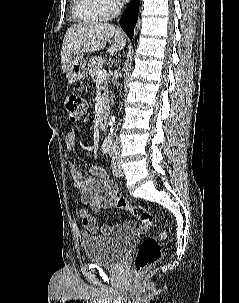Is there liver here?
I'll return each mask as SVG.
<instances>
[{"label":"liver","mask_w":239,"mask_h":303,"mask_svg":"<svg viewBox=\"0 0 239 303\" xmlns=\"http://www.w3.org/2000/svg\"><path fill=\"white\" fill-rule=\"evenodd\" d=\"M112 37H114V42L109 52L121 51L126 45V40L123 33L113 25L98 21H86L72 25L66 31L62 43L63 71H66L67 63L73 57L103 49Z\"/></svg>","instance_id":"6515ba94"}]
</instances>
